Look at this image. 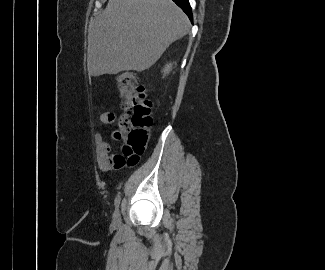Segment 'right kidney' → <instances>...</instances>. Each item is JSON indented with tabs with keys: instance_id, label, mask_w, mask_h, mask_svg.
Returning a JSON list of instances; mask_svg holds the SVG:
<instances>
[{
	"instance_id": "right-kidney-1",
	"label": "right kidney",
	"mask_w": 325,
	"mask_h": 270,
	"mask_svg": "<svg viewBox=\"0 0 325 270\" xmlns=\"http://www.w3.org/2000/svg\"><path fill=\"white\" fill-rule=\"evenodd\" d=\"M171 69H172V64L171 63L167 64L163 69L164 76L167 75L171 71Z\"/></svg>"
}]
</instances>
